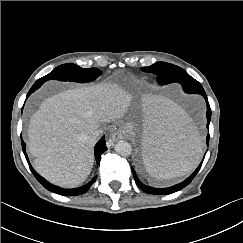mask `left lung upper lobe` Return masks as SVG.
<instances>
[{"label": "left lung upper lobe", "mask_w": 243, "mask_h": 243, "mask_svg": "<svg viewBox=\"0 0 243 243\" xmlns=\"http://www.w3.org/2000/svg\"><path fill=\"white\" fill-rule=\"evenodd\" d=\"M142 70L157 75V82L160 85L178 82L183 87L199 83L182 68L166 62H156L149 67H143Z\"/></svg>", "instance_id": "1"}]
</instances>
